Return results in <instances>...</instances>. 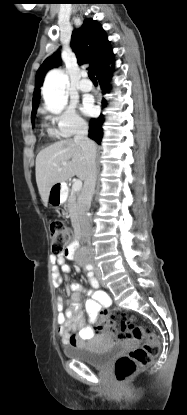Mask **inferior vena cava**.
<instances>
[{"label": "inferior vena cava", "instance_id": "obj_1", "mask_svg": "<svg viewBox=\"0 0 187 415\" xmlns=\"http://www.w3.org/2000/svg\"><path fill=\"white\" fill-rule=\"evenodd\" d=\"M88 125L84 122L77 127L74 141L78 143L84 153L86 159V172L84 179V186L78 198L77 212L78 221L81 227V241L82 247L77 252L88 258L93 256V251L89 246L91 238V224L88 212L91 206L92 197L95 190L97 166H96V145L88 138Z\"/></svg>", "mask_w": 187, "mask_h": 415}]
</instances>
